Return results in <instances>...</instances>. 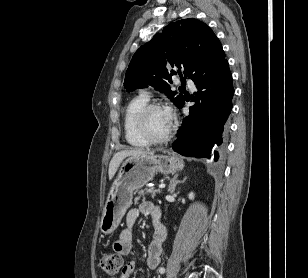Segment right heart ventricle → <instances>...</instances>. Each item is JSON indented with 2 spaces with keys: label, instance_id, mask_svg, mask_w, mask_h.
I'll list each match as a JSON object with an SVG mask.
<instances>
[{
  "label": "right heart ventricle",
  "instance_id": "1",
  "mask_svg": "<svg viewBox=\"0 0 308 278\" xmlns=\"http://www.w3.org/2000/svg\"><path fill=\"white\" fill-rule=\"evenodd\" d=\"M148 103L143 95L132 98L125 106L123 112V129L127 143L136 148L147 147L150 143L146 141L137 131L135 116L137 112Z\"/></svg>",
  "mask_w": 308,
  "mask_h": 278
}]
</instances>
